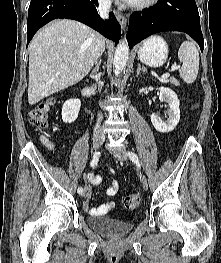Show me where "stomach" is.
<instances>
[{"label": "stomach", "mask_w": 221, "mask_h": 263, "mask_svg": "<svg viewBox=\"0 0 221 263\" xmlns=\"http://www.w3.org/2000/svg\"><path fill=\"white\" fill-rule=\"evenodd\" d=\"M168 57L166 42L159 36H152L147 39L139 48V60L151 67L162 66Z\"/></svg>", "instance_id": "stomach-1"}]
</instances>
